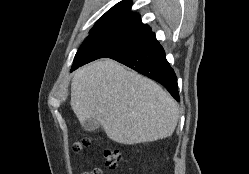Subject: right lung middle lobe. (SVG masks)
I'll return each instance as SVG.
<instances>
[{
	"mask_svg": "<svg viewBox=\"0 0 249 174\" xmlns=\"http://www.w3.org/2000/svg\"><path fill=\"white\" fill-rule=\"evenodd\" d=\"M151 29L132 25L111 27L90 31V35L78 49L72 70L103 57H111L143 44L149 38Z\"/></svg>",
	"mask_w": 249,
	"mask_h": 174,
	"instance_id": "1",
	"label": "right lung middle lobe"
}]
</instances>
